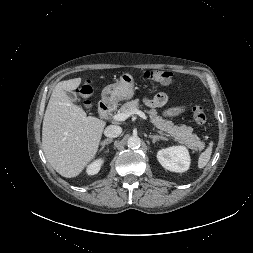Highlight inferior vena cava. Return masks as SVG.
<instances>
[{
  "instance_id": "obj_1",
  "label": "inferior vena cava",
  "mask_w": 253,
  "mask_h": 253,
  "mask_svg": "<svg viewBox=\"0 0 253 253\" xmlns=\"http://www.w3.org/2000/svg\"><path fill=\"white\" fill-rule=\"evenodd\" d=\"M122 133V128L117 125L107 126L104 130V135L109 138L118 137Z\"/></svg>"
}]
</instances>
